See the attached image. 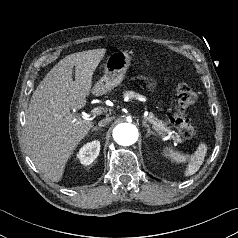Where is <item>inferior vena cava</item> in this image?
I'll use <instances>...</instances> for the list:
<instances>
[{
	"mask_svg": "<svg viewBox=\"0 0 238 238\" xmlns=\"http://www.w3.org/2000/svg\"><path fill=\"white\" fill-rule=\"evenodd\" d=\"M110 121H111L110 118H105V119H102V120L98 123V125L102 127V126L107 125Z\"/></svg>",
	"mask_w": 238,
	"mask_h": 238,
	"instance_id": "inferior-vena-cava-1",
	"label": "inferior vena cava"
}]
</instances>
